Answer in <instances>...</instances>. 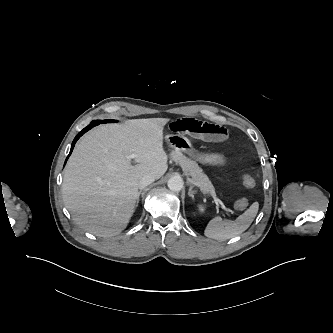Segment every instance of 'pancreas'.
I'll return each instance as SVG.
<instances>
[{
	"label": "pancreas",
	"mask_w": 333,
	"mask_h": 333,
	"mask_svg": "<svg viewBox=\"0 0 333 333\" xmlns=\"http://www.w3.org/2000/svg\"><path fill=\"white\" fill-rule=\"evenodd\" d=\"M171 157L175 162L181 165L184 173L191 177V182L200 187L202 192L210 195L215 194L214 186L196 162L187 158L179 151H173Z\"/></svg>",
	"instance_id": "pancreas-1"
}]
</instances>
